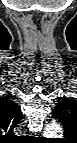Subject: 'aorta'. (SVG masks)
I'll return each mask as SVG.
<instances>
[{"instance_id": "obj_1", "label": "aorta", "mask_w": 77, "mask_h": 143, "mask_svg": "<svg viewBox=\"0 0 77 143\" xmlns=\"http://www.w3.org/2000/svg\"><path fill=\"white\" fill-rule=\"evenodd\" d=\"M61 132H62V128L60 124L57 122H51L47 124L44 134L52 136L54 134L61 133Z\"/></svg>"}]
</instances>
